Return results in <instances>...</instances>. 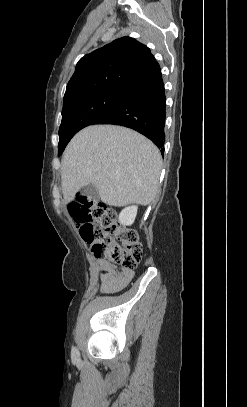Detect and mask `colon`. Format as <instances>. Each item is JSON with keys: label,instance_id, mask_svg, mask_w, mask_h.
<instances>
[{"label": "colon", "instance_id": "5ec220e1", "mask_svg": "<svg viewBox=\"0 0 247 407\" xmlns=\"http://www.w3.org/2000/svg\"><path fill=\"white\" fill-rule=\"evenodd\" d=\"M81 237L92 245L95 257L125 269H134L143 250L139 235L120 224L113 209L105 203L78 197L68 206Z\"/></svg>", "mask_w": 247, "mask_h": 407}]
</instances>
